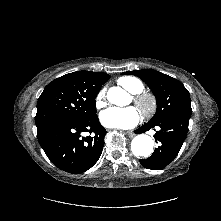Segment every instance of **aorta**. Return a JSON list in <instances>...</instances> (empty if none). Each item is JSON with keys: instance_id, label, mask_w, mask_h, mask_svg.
I'll return each instance as SVG.
<instances>
[{"instance_id": "aorta-1", "label": "aorta", "mask_w": 221, "mask_h": 221, "mask_svg": "<svg viewBox=\"0 0 221 221\" xmlns=\"http://www.w3.org/2000/svg\"><path fill=\"white\" fill-rule=\"evenodd\" d=\"M127 93L120 87H111L107 92V99L110 103L122 106L125 104ZM154 141L145 134L134 137L131 143V150L134 156L149 157L153 151Z\"/></svg>"}]
</instances>
